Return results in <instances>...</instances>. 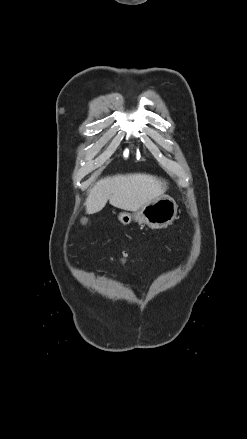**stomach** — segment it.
I'll return each mask as SVG.
<instances>
[{
    "label": "stomach",
    "mask_w": 247,
    "mask_h": 439,
    "mask_svg": "<svg viewBox=\"0 0 247 439\" xmlns=\"http://www.w3.org/2000/svg\"><path fill=\"white\" fill-rule=\"evenodd\" d=\"M178 205L168 195H160L149 203H146L137 211L134 216L122 212L118 215L119 221L128 225L134 219L139 224H146L151 229H160L170 225L177 215Z\"/></svg>",
    "instance_id": "obj_1"
}]
</instances>
